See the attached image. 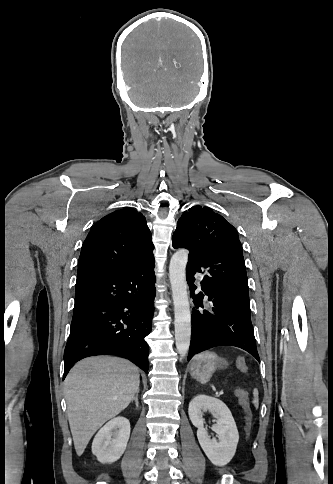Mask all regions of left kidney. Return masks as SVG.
Here are the masks:
<instances>
[{
    "mask_svg": "<svg viewBox=\"0 0 333 484\" xmlns=\"http://www.w3.org/2000/svg\"><path fill=\"white\" fill-rule=\"evenodd\" d=\"M210 411L217 418L212 427L219 441L211 439L204 428L203 414ZM189 418L197 427V438L208 459L216 466H224L231 461L236 452L239 434L228 407L219 399L208 395H197L189 403Z\"/></svg>",
    "mask_w": 333,
    "mask_h": 484,
    "instance_id": "1",
    "label": "left kidney"
}]
</instances>
